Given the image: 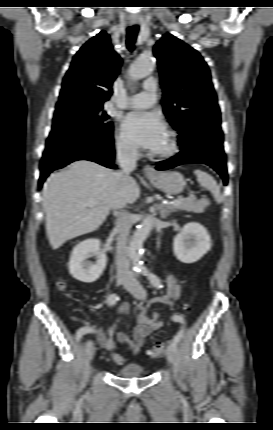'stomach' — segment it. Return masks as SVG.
I'll use <instances>...</instances> for the list:
<instances>
[{
	"instance_id": "0dacf381",
	"label": "stomach",
	"mask_w": 273,
	"mask_h": 430,
	"mask_svg": "<svg viewBox=\"0 0 273 430\" xmlns=\"http://www.w3.org/2000/svg\"><path fill=\"white\" fill-rule=\"evenodd\" d=\"M148 178L153 186L167 194H179L185 187L183 176L176 171L156 172Z\"/></svg>"
}]
</instances>
